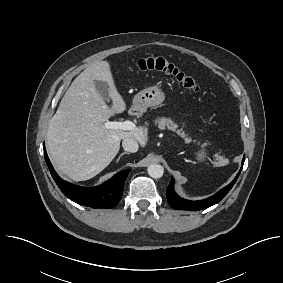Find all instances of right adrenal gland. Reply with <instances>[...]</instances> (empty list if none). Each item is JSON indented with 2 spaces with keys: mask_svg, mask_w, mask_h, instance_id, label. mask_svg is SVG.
I'll return each instance as SVG.
<instances>
[{
  "mask_svg": "<svg viewBox=\"0 0 283 283\" xmlns=\"http://www.w3.org/2000/svg\"><path fill=\"white\" fill-rule=\"evenodd\" d=\"M125 154H130L129 152H123L119 155V157L117 158L116 162H118L120 160V158L125 155Z\"/></svg>",
  "mask_w": 283,
  "mask_h": 283,
  "instance_id": "obj_1",
  "label": "right adrenal gland"
}]
</instances>
